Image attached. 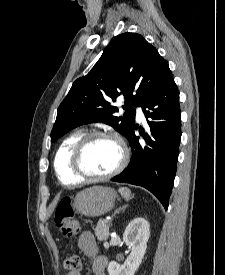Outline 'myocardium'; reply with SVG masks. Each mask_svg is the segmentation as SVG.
<instances>
[{
	"mask_svg": "<svg viewBox=\"0 0 225 275\" xmlns=\"http://www.w3.org/2000/svg\"><path fill=\"white\" fill-rule=\"evenodd\" d=\"M97 138L111 139L115 141L120 148V160L117 166L112 171L103 175L90 174L87 171H85L82 166V156L86 148L89 146V144L93 140ZM128 159H129L128 148L120 137L111 135L102 131H92L84 134L74 145L70 156V167L72 172L81 180L103 181V180L110 179L118 175L120 172H122L127 165Z\"/></svg>",
	"mask_w": 225,
	"mask_h": 275,
	"instance_id": "obj_1",
	"label": "myocardium"
}]
</instances>
